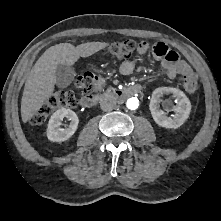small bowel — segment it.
<instances>
[{"instance_id":"small-bowel-1","label":"small bowel","mask_w":221,"mask_h":221,"mask_svg":"<svg viewBox=\"0 0 221 221\" xmlns=\"http://www.w3.org/2000/svg\"><path fill=\"white\" fill-rule=\"evenodd\" d=\"M149 48L150 45L143 41L139 43L137 51L140 55H144L148 52ZM152 52L154 56L160 60L161 66L165 69L168 79L173 80L178 75L186 77L193 74V70L189 64L182 60L178 53L170 50L165 43H157L153 47ZM134 68L135 63L132 60H125L120 65V72L123 75H129L134 71Z\"/></svg>"}]
</instances>
